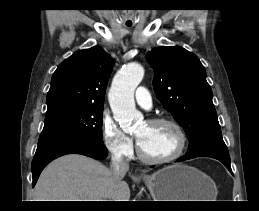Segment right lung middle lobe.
<instances>
[{
    "mask_svg": "<svg viewBox=\"0 0 259 211\" xmlns=\"http://www.w3.org/2000/svg\"><path fill=\"white\" fill-rule=\"evenodd\" d=\"M103 106L87 107L44 123L39 141L60 137L83 138L96 143L102 140Z\"/></svg>",
    "mask_w": 259,
    "mask_h": 211,
    "instance_id": "1",
    "label": "right lung middle lobe"
}]
</instances>
